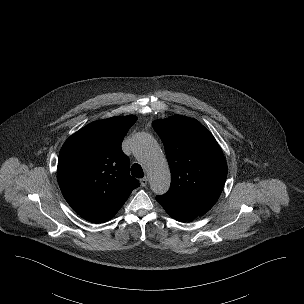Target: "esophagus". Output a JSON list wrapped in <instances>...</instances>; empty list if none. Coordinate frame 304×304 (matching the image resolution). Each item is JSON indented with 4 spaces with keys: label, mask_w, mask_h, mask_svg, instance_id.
<instances>
[{
    "label": "esophagus",
    "mask_w": 304,
    "mask_h": 304,
    "mask_svg": "<svg viewBox=\"0 0 304 304\" xmlns=\"http://www.w3.org/2000/svg\"><path fill=\"white\" fill-rule=\"evenodd\" d=\"M140 183L143 187H145L148 183V177H143L142 179H140Z\"/></svg>",
    "instance_id": "1"
}]
</instances>
